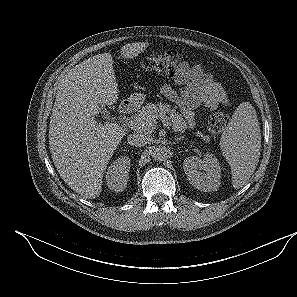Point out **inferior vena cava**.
<instances>
[{
    "label": "inferior vena cava",
    "instance_id": "602c4592",
    "mask_svg": "<svg viewBox=\"0 0 297 297\" xmlns=\"http://www.w3.org/2000/svg\"><path fill=\"white\" fill-rule=\"evenodd\" d=\"M127 141L132 146L141 147L148 143V138L144 134L135 133V134H130L127 137Z\"/></svg>",
    "mask_w": 297,
    "mask_h": 297
}]
</instances>
